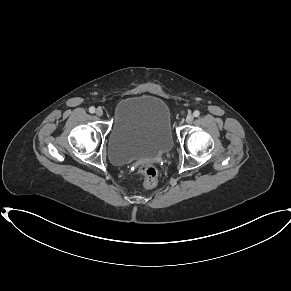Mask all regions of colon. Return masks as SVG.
<instances>
[{
    "mask_svg": "<svg viewBox=\"0 0 291 291\" xmlns=\"http://www.w3.org/2000/svg\"><path fill=\"white\" fill-rule=\"evenodd\" d=\"M138 173L143 178L144 184L147 187H154L158 182V170L149 165H142L138 168Z\"/></svg>",
    "mask_w": 291,
    "mask_h": 291,
    "instance_id": "colon-1",
    "label": "colon"
}]
</instances>
